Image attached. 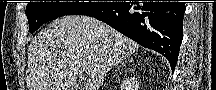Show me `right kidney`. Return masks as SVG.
Listing matches in <instances>:
<instances>
[{"label":"right kidney","instance_id":"right-kidney-1","mask_svg":"<svg viewBox=\"0 0 216 90\" xmlns=\"http://www.w3.org/2000/svg\"><path fill=\"white\" fill-rule=\"evenodd\" d=\"M135 90H137V86H134Z\"/></svg>","mask_w":216,"mask_h":90}]
</instances>
